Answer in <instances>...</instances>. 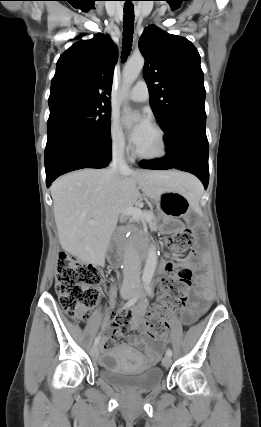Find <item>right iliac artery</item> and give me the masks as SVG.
<instances>
[{
    "label": "right iliac artery",
    "mask_w": 261,
    "mask_h": 427,
    "mask_svg": "<svg viewBox=\"0 0 261 427\" xmlns=\"http://www.w3.org/2000/svg\"><path fill=\"white\" fill-rule=\"evenodd\" d=\"M138 298H139V295H136L133 298H131L129 301L125 303L124 308H129L133 306L137 302ZM99 341H100V336H97L94 341V345L97 346L99 344Z\"/></svg>",
    "instance_id": "1"
}]
</instances>
